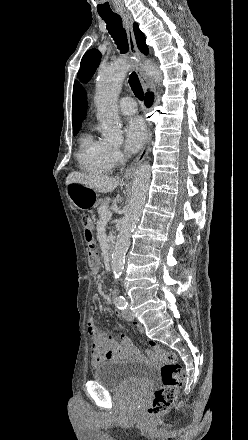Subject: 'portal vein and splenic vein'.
<instances>
[{"instance_id":"1","label":"portal vein and splenic vein","mask_w":248,"mask_h":440,"mask_svg":"<svg viewBox=\"0 0 248 440\" xmlns=\"http://www.w3.org/2000/svg\"><path fill=\"white\" fill-rule=\"evenodd\" d=\"M100 217L105 221H109L112 217V213L109 211V209L103 208Z\"/></svg>"}]
</instances>
